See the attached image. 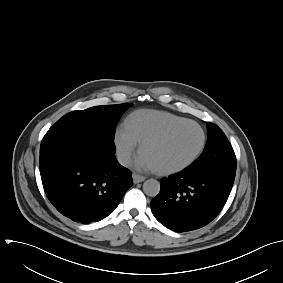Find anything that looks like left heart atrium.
I'll return each instance as SVG.
<instances>
[{
    "mask_svg": "<svg viewBox=\"0 0 283 283\" xmlns=\"http://www.w3.org/2000/svg\"><path fill=\"white\" fill-rule=\"evenodd\" d=\"M134 165L137 169L140 170L156 171L157 169L154 163L148 157V155L145 154L143 151H141L136 157Z\"/></svg>",
    "mask_w": 283,
    "mask_h": 283,
    "instance_id": "obj_1",
    "label": "left heart atrium"
}]
</instances>
